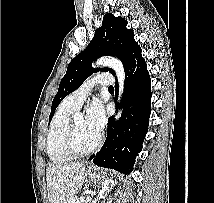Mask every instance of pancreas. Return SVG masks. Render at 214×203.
<instances>
[{"label": "pancreas", "instance_id": "obj_1", "mask_svg": "<svg viewBox=\"0 0 214 203\" xmlns=\"http://www.w3.org/2000/svg\"><path fill=\"white\" fill-rule=\"evenodd\" d=\"M69 203H83V201L79 200L77 197H75V198H72Z\"/></svg>", "mask_w": 214, "mask_h": 203}]
</instances>
